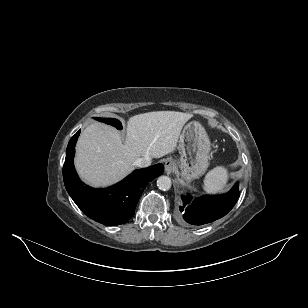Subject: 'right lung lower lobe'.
<instances>
[{"mask_svg": "<svg viewBox=\"0 0 308 308\" xmlns=\"http://www.w3.org/2000/svg\"><path fill=\"white\" fill-rule=\"evenodd\" d=\"M80 130L67 146L63 179L67 192L76 205L91 219L104 225L125 224L134 215L136 204L146 184L161 175L162 164L134 171L118 184L106 189H93L82 183L74 169L75 144Z\"/></svg>", "mask_w": 308, "mask_h": 308, "instance_id": "obj_1", "label": "right lung lower lobe"}]
</instances>
